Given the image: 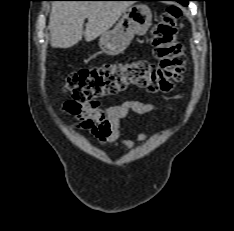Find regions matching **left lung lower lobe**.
<instances>
[{
    "label": "left lung lower lobe",
    "instance_id": "1",
    "mask_svg": "<svg viewBox=\"0 0 234 231\" xmlns=\"http://www.w3.org/2000/svg\"><path fill=\"white\" fill-rule=\"evenodd\" d=\"M143 1H154V0H143ZM175 1H177V0H175ZM181 4H183V3H181ZM183 5H187V4H183Z\"/></svg>",
    "mask_w": 234,
    "mask_h": 231
}]
</instances>
